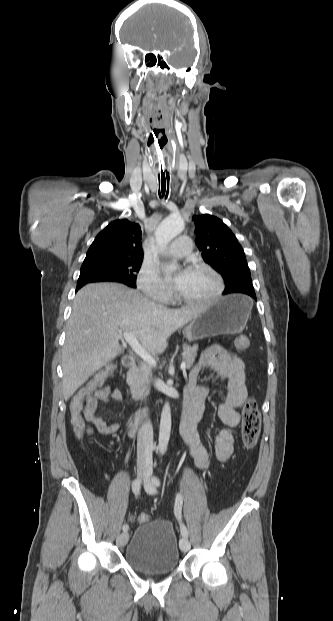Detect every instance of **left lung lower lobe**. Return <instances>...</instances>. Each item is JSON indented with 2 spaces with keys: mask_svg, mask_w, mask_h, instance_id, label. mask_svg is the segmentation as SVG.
Wrapping results in <instances>:
<instances>
[{
  "mask_svg": "<svg viewBox=\"0 0 333 621\" xmlns=\"http://www.w3.org/2000/svg\"><path fill=\"white\" fill-rule=\"evenodd\" d=\"M243 294H246V295L250 296L251 298H253L254 300H256V295H255V293L245 292V293H243Z\"/></svg>",
  "mask_w": 333,
  "mask_h": 621,
  "instance_id": "1",
  "label": "left lung lower lobe"
}]
</instances>
